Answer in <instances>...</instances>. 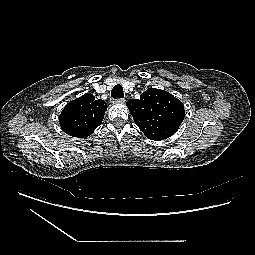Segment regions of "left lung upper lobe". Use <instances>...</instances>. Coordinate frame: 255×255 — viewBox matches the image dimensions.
I'll return each mask as SVG.
<instances>
[{"instance_id":"5c2ea615","label":"left lung upper lobe","mask_w":255,"mask_h":255,"mask_svg":"<svg viewBox=\"0 0 255 255\" xmlns=\"http://www.w3.org/2000/svg\"><path fill=\"white\" fill-rule=\"evenodd\" d=\"M126 105L139 129L155 141L172 136L185 117L182 102L161 89L148 88L140 99H130Z\"/></svg>"}]
</instances>
